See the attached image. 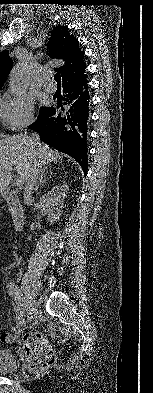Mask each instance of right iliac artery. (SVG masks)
<instances>
[{"label":"right iliac artery","mask_w":153,"mask_h":393,"mask_svg":"<svg viewBox=\"0 0 153 393\" xmlns=\"http://www.w3.org/2000/svg\"><path fill=\"white\" fill-rule=\"evenodd\" d=\"M13 286H14V284H12L11 282L8 284L9 293H10V295H11L12 297L15 298V300H18V301H19L18 304H20V306H23V304H21V302H20L21 300L23 301V298H21V295H20V293H19L20 289H18L17 287L14 288Z\"/></svg>","instance_id":"1"}]
</instances>
